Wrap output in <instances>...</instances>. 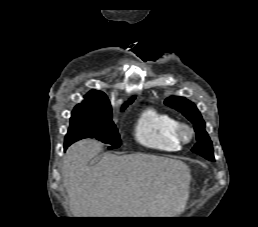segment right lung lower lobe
Segmentation results:
<instances>
[{
    "mask_svg": "<svg viewBox=\"0 0 258 227\" xmlns=\"http://www.w3.org/2000/svg\"><path fill=\"white\" fill-rule=\"evenodd\" d=\"M69 145H64V149L66 150Z\"/></svg>",
    "mask_w": 258,
    "mask_h": 227,
    "instance_id": "obj_1",
    "label": "right lung lower lobe"
}]
</instances>
